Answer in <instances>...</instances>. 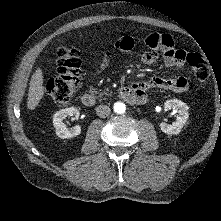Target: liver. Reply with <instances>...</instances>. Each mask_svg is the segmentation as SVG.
I'll return each instance as SVG.
<instances>
[{
  "label": "liver",
  "mask_w": 221,
  "mask_h": 221,
  "mask_svg": "<svg viewBox=\"0 0 221 221\" xmlns=\"http://www.w3.org/2000/svg\"><path fill=\"white\" fill-rule=\"evenodd\" d=\"M44 87H43V72L40 68H37L34 74L32 75L29 92H28V100L27 107L30 110H34L36 106L39 104L44 95Z\"/></svg>",
  "instance_id": "6515ba94"
}]
</instances>
